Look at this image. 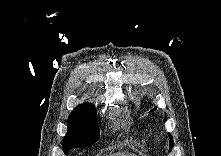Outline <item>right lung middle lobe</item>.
I'll list each match as a JSON object with an SVG mask.
<instances>
[{
	"instance_id": "right-lung-middle-lobe-1",
	"label": "right lung middle lobe",
	"mask_w": 221,
	"mask_h": 156,
	"mask_svg": "<svg viewBox=\"0 0 221 156\" xmlns=\"http://www.w3.org/2000/svg\"><path fill=\"white\" fill-rule=\"evenodd\" d=\"M100 136L95 108H75L69 115L68 132L62 140L64 153L94 144Z\"/></svg>"
}]
</instances>
